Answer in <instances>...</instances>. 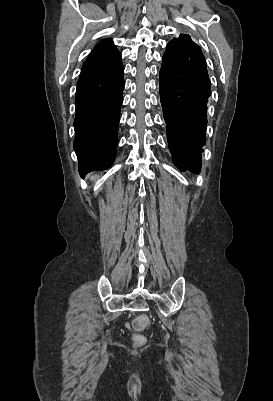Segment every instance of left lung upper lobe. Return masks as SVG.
I'll return each instance as SVG.
<instances>
[{
    "label": "left lung upper lobe",
    "instance_id": "left-lung-upper-lobe-1",
    "mask_svg": "<svg viewBox=\"0 0 273 401\" xmlns=\"http://www.w3.org/2000/svg\"><path fill=\"white\" fill-rule=\"evenodd\" d=\"M188 36H189V35H183V34H181V35L179 36L178 39L186 38V37H188Z\"/></svg>",
    "mask_w": 273,
    "mask_h": 401
}]
</instances>
